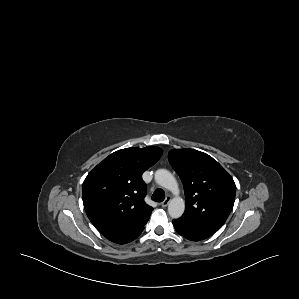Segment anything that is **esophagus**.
<instances>
[{
	"label": "esophagus",
	"mask_w": 299,
	"mask_h": 299,
	"mask_svg": "<svg viewBox=\"0 0 299 299\" xmlns=\"http://www.w3.org/2000/svg\"><path fill=\"white\" fill-rule=\"evenodd\" d=\"M170 196H167L165 200L160 204L162 207H167L170 202Z\"/></svg>",
	"instance_id": "1"
}]
</instances>
